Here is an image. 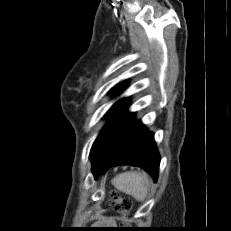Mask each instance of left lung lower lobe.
<instances>
[{
	"label": "left lung lower lobe",
	"mask_w": 231,
	"mask_h": 231,
	"mask_svg": "<svg viewBox=\"0 0 231 231\" xmlns=\"http://www.w3.org/2000/svg\"><path fill=\"white\" fill-rule=\"evenodd\" d=\"M133 117L134 113L122 110L94 144L90 157L95 176L111 166L130 164L143 168L157 180L160 157L154 135Z\"/></svg>",
	"instance_id": "0a47b994"
}]
</instances>
